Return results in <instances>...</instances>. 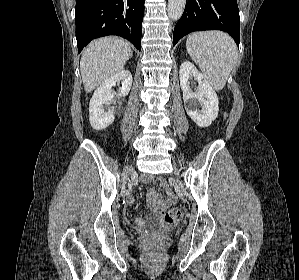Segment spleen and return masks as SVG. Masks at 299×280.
I'll list each match as a JSON object with an SVG mask.
<instances>
[{"instance_id":"spleen-1","label":"spleen","mask_w":299,"mask_h":280,"mask_svg":"<svg viewBox=\"0 0 299 280\" xmlns=\"http://www.w3.org/2000/svg\"><path fill=\"white\" fill-rule=\"evenodd\" d=\"M186 49L209 84L215 90H222L237 61L234 40L221 31L197 32L187 38Z\"/></svg>"}]
</instances>
